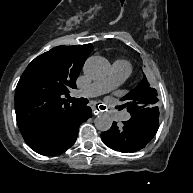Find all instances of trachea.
<instances>
[{"mask_svg":"<svg viewBox=\"0 0 193 193\" xmlns=\"http://www.w3.org/2000/svg\"><path fill=\"white\" fill-rule=\"evenodd\" d=\"M69 102L71 103H74V104H78V105H81V106H84V105H87L89 103V100L87 98H72V97H69ZM99 108L101 110H105L106 107L103 106V105H100ZM117 108V107H116Z\"/></svg>","mask_w":193,"mask_h":193,"instance_id":"1","label":"trachea"}]
</instances>
